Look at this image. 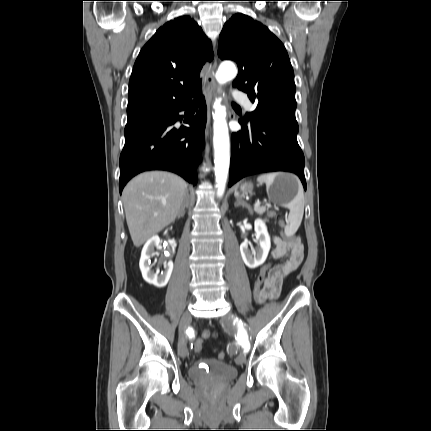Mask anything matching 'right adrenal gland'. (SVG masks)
I'll list each match as a JSON object with an SVG mask.
<instances>
[{"label":"right adrenal gland","instance_id":"2a0ac1e0","mask_svg":"<svg viewBox=\"0 0 431 431\" xmlns=\"http://www.w3.org/2000/svg\"><path fill=\"white\" fill-rule=\"evenodd\" d=\"M188 198H189V193L187 192V193H186V195H185V198H184L183 204H182V206H181V209H180V213H179L178 218H180V217L184 216V214H185V208H187V207H188Z\"/></svg>","mask_w":431,"mask_h":431}]
</instances>
